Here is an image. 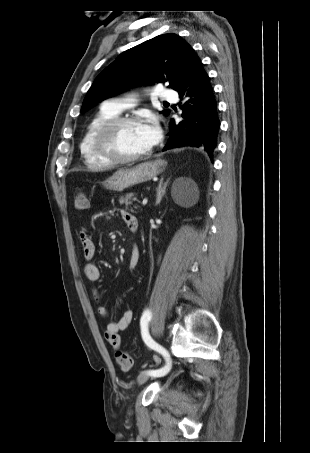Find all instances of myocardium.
I'll return each mask as SVG.
<instances>
[{
	"label": "myocardium",
	"instance_id": "f54148a6",
	"mask_svg": "<svg viewBox=\"0 0 310 453\" xmlns=\"http://www.w3.org/2000/svg\"><path fill=\"white\" fill-rule=\"evenodd\" d=\"M139 123L140 119L134 116H116L105 122L99 127L93 138L96 153L112 164H129L148 157L152 152L151 149L140 154L124 157L116 154L111 146L112 138L119 128Z\"/></svg>",
	"mask_w": 310,
	"mask_h": 453
}]
</instances>
